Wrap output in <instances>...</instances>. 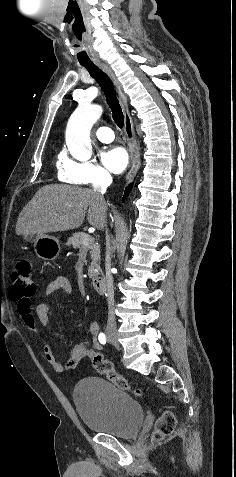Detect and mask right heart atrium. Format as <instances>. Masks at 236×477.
Instances as JSON below:
<instances>
[{
	"mask_svg": "<svg viewBox=\"0 0 236 477\" xmlns=\"http://www.w3.org/2000/svg\"><path fill=\"white\" fill-rule=\"evenodd\" d=\"M60 175L68 183L80 186L99 185L110 179L109 172L93 161H76L64 158Z\"/></svg>",
	"mask_w": 236,
	"mask_h": 477,
	"instance_id": "d8ad5b80",
	"label": "right heart atrium"
}]
</instances>
